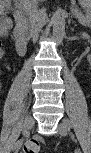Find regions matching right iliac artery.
<instances>
[{"mask_svg":"<svg viewBox=\"0 0 91 153\" xmlns=\"http://www.w3.org/2000/svg\"><path fill=\"white\" fill-rule=\"evenodd\" d=\"M23 141H24L23 138L20 139V140H18V141L16 142V144H15V148H19V147L22 145Z\"/></svg>","mask_w":91,"mask_h":153,"instance_id":"obj_1","label":"right iliac artery"}]
</instances>
